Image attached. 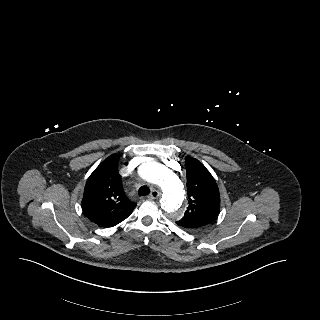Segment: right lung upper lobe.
<instances>
[{"instance_id": "cb5924a9", "label": "right lung upper lobe", "mask_w": 320, "mask_h": 320, "mask_svg": "<svg viewBox=\"0 0 320 320\" xmlns=\"http://www.w3.org/2000/svg\"><path fill=\"white\" fill-rule=\"evenodd\" d=\"M118 160L119 156L115 154L106 158L89 176L84 189L83 213L102 228L119 224L137 205L122 190Z\"/></svg>"}]
</instances>
